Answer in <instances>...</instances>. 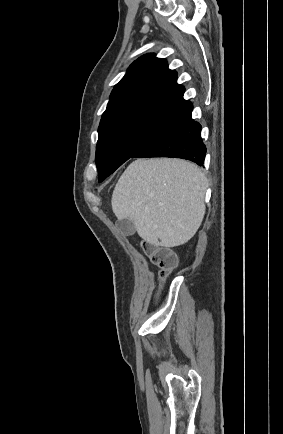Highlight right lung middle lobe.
Wrapping results in <instances>:
<instances>
[{
  "mask_svg": "<svg viewBox=\"0 0 283 434\" xmlns=\"http://www.w3.org/2000/svg\"><path fill=\"white\" fill-rule=\"evenodd\" d=\"M173 121L150 114H127L100 123L95 161L99 182L111 175Z\"/></svg>",
  "mask_w": 283,
  "mask_h": 434,
  "instance_id": "1",
  "label": "right lung middle lobe"
}]
</instances>
